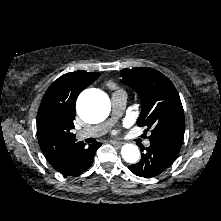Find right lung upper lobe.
I'll list each match as a JSON object with an SVG mask.
<instances>
[{
  "instance_id": "1",
  "label": "right lung upper lobe",
  "mask_w": 221,
  "mask_h": 221,
  "mask_svg": "<svg viewBox=\"0 0 221 221\" xmlns=\"http://www.w3.org/2000/svg\"><path fill=\"white\" fill-rule=\"evenodd\" d=\"M100 73L75 71L56 79L45 92L37 115V137L40 148L55 168L69 161V155L85 146L71 133L75 119V103L80 92Z\"/></svg>"
}]
</instances>
